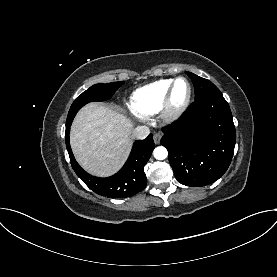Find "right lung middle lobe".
<instances>
[{"label": "right lung middle lobe", "mask_w": 277, "mask_h": 277, "mask_svg": "<svg viewBox=\"0 0 277 277\" xmlns=\"http://www.w3.org/2000/svg\"><path fill=\"white\" fill-rule=\"evenodd\" d=\"M124 81L121 82H112L107 84H96L91 86L85 92H83L70 107L66 125H70L75 117L76 113L81 107L85 104L93 101H104L109 99L113 93L122 85Z\"/></svg>", "instance_id": "right-lung-middle-lobe-1"}]
</instances>
